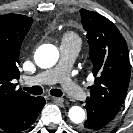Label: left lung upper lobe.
<instances>
[{
    "instance_id": "left-lung-upper-lobe-1",
    "label": "left lung upper lobe",
    "mask_w": 133,
    "mask_h": 133,
    "mask_svg": "<svg viewBox=\"0 0 133 133\" xmlns=\"http://www.w3.org/2000/svg\"><path fill=\"white\" fill-rule=\"evenodd\" d=\"M87 31L95 85L86 101L119 110L130 81L128 48L117 27L98 13L80 10Z\"/></svg>"
}]
</instances>
